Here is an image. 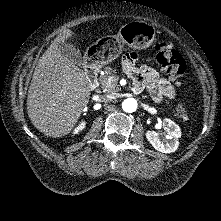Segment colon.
Here are the masks:
<instances>
[{"mask_svg":"<svg viewBox=\"0 0 221 221\" xmlns=\"http://www.w3.org/2000/svg\"><path fill=\"white\" fill-rule=\"evenodd\" d=\"M156 60L175 81H180L185 73V63L179 53L167 42H158L155 46ZM176 116L181 120L188 119V110L184 104L176 108Z\"/></svg>","mask_w":221,"mask_h":221,"instance_id":"1","label":"colon"}]
</instances>
